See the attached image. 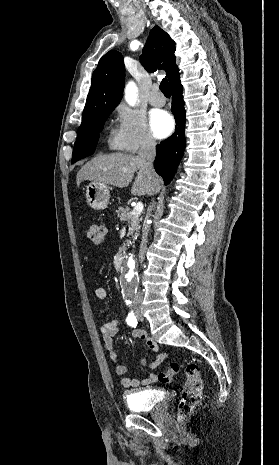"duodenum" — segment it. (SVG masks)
<instances>
[{"label": "duodenum", "instance_id": "410a0bca", "mask_svg": "<svg viewBox=\"0 0 279 465\" xmlns=\"http://www.w3.org/2000/svg\"><path fill=\"white\" fill-rule=\"evenodd\" d=\"M124 257H125V250L122 249L120 250L117 255L115 256L114 263L115 266L118 270L122 268L123 262H124Z\"/></svg>", "mask_w": 279, "mask_h": 465}]
</instances>
